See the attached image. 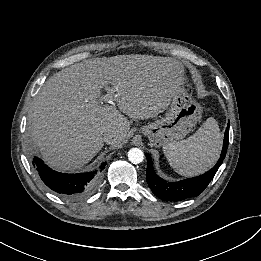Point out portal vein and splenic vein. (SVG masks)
Returning <instances> with one entry per match:
<instances>
[{
    "label": "portal vein and splenic vein",
    "mask_w": 261,
    "mask_h": 261,
    "mask_svg": "<svg viewBox=\"0 0 261 261\" xmlns=\"http://www.w3.org/2000/svg\"><path fill=\"white\" fill-rule=\"evenodd\" d=\"M105 89L108 91V93L103 95V96H101L99 98V101H104V102H111V101H113V97H114L113 96V92H115L116 88L106 87Z\"/></svg>",
    "instance_id": "obj_1"
}]
</instances>
